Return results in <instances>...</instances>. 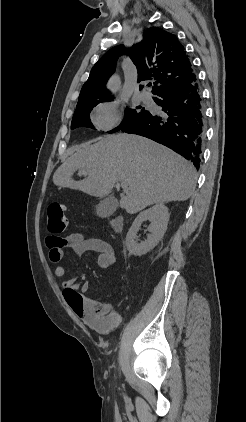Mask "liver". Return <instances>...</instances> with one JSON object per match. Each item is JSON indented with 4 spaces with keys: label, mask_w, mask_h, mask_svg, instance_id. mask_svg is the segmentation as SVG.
I'll list each match as a JSON object with an SVG mask.
<instances>
[{
    "label": "liver",
    "mask_w": 246,
    "mask_h": 422,
    "mask_svg": "<svg viewBox=\"0 0 246 422\" xmlns=\"http://www.w3.org/2000/svg\"><path fill=\"white\" fill-rule=\"evenodd\" d=\"M79 170L85 179L75 181ZM196 171L183 157L137 135H106L83 144L54 173L53 183L104 197L115 183L126 185L120 207L129 214L164 202L185 201L196 185Z\"/></svg>",
    "instance_id": "liver-1"
}]
</instances>
